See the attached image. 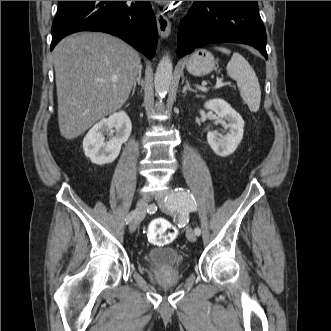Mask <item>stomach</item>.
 Returning a JSON list of instances; mask_svg holds the SVG:
<instances>
[{"label":"stomach","instance_id":"obj_1","mask_svg":"<svg viewBox=\"0 0 331 331\" xmlns=\"http://www.w3.org/2000/svg\"><path fill=\"white\" fill-rule=\"evenodd\" d=\"M186 68L194 76H205L215 69L214 56L205 49H198L187 59Z\"/></svg>","mask_w":331,"mask_h":331}]
</instances>
